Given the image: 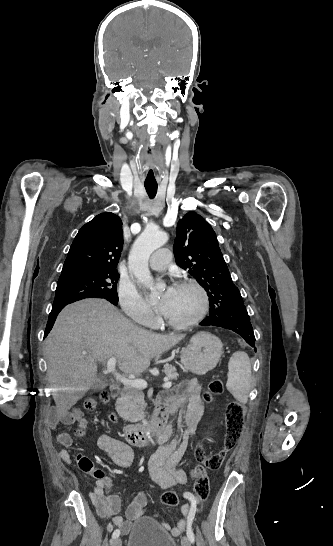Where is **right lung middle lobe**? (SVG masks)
<instances>
[{"mask_svg":"<svg viewBox=\"0 0 333 546\" xmlns=\"http://www.w3.org/2000/svg\"><path fill=\"white\" fill-rule=\"evenodd\" d=\"M118 279L117 270L73 272L61 275L53 306L93 297L118 301Z\"/></svg>","mask_w":333,"mask_h":546,"instance_id":"right-lung-middle-lobe-1","label":"right lung middle lobe"}]
</instances>
